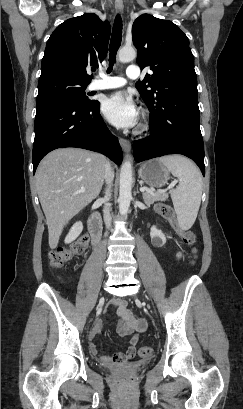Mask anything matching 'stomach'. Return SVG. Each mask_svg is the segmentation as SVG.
<instances>
[{
	"instance_id": "stomach-1",
	"label": "stomach",
	"mask_w": 243,
	"mask_h": 409,
	"mask_svg": "<svg viewBox=\"0 0 243 409\" xmlns=\"http://www.w3.org/2000/svg\"><path fill=\"white\" fill-rule=\"evenodd\" d=\"M139 177L153 188L164 186L169 180V170L159 159L145 162L138 170Z\"/></svg>"
}]
</instances>
